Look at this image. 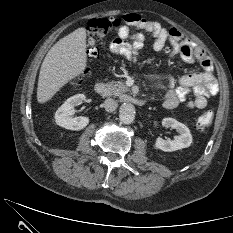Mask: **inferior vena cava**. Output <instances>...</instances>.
Here are the masks:
<instances>
[{
	"mask_svg": "<svg viewBox=\"0 0 233 233\" xmlns=\"http://www.w3.org/2000/svg\"><path fill=\"white\" fill-rule=\"evenodd\" d=\"M103 105H104V108L107 112L115 111L117 109V106H118L117 102L112 98H107L104 101Z\"/></svg>",
	"mask_w": 233,
	"mask_h": 233,
	"instance_id": "602c4592",
	"label": "inferior vena cava"
}]
</instances>
